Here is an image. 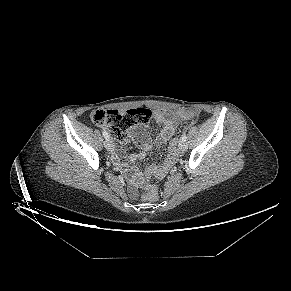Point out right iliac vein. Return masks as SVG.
I'll list each match as a JSON object with an SVG mask.
<instances>
[{
    "instance_id": "obj_1",
    "label": "right iliac vein",
    "mask_w": 291,
    "mask_h": 291,
    "mask_svg": "<svg viewBox=\"0 0 291 291\" xmlns=\"http://www.w3.org/2000/svg\"><path fill=\"white\" fill-rule=\"evenodd\" d=\"M104 146L108 151H112L114 149V144L110 140H106Z\"/></svg>"
}]
</instances>
